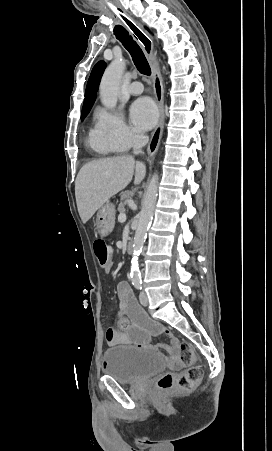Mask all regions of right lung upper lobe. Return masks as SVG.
<instances>
[{"instance_id": "obj_1", "label": "right lung upper lobe", "mask_w": 272, "mask_h": 451, "mask_svg": "<svg viewBox=\"0 0 272 451\" xmlns=\"http://www.w3.org/2000/svg\"><path fill=\"white\" fill-rule=\"evenodd\" d=\"M105 67L106 64L103 61L98 62L94 66L87 83L83 108H91L93 106L96 99V92Z\"/></svg>"}]
</instances>
